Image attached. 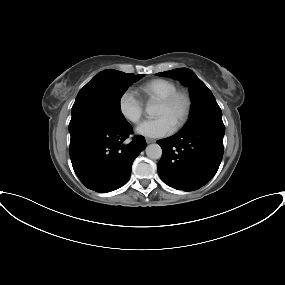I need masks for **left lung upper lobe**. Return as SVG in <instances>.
<instances>
[{
    "mask_svg": "<svg viewBox=\"0 0 285 285\" xmlns=\"http://www.w3.org/2000/svg\"><path fill=\"white\" fill-rule=\"evenodd\" d=\"M157 75L176 78L189 86L192 99L191 117L181 131H187L203 122H222V112L207 86L187 68H179Z\"/></svg>",
    "mask_w": 285,
    "mask_h": 285,
    "instance_id": "left-lung-upper-lobe-1",
    "label": "left lung upper lobe"
}]
</instances>
